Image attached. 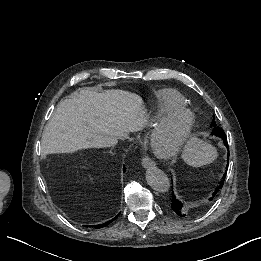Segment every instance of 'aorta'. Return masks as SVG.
Segmentation results:
<instances>
[{
	"mask_svg": "<svg viewBox=\"0 0 261 261\" xmlns=\"http://www.w3.org/2000/svg\"><path fill=\"white\" fill-rule=\"evenodd\" d=\"M146 180L152 189L165 193L170 188V181L167 175L157 167H150L146 171Z\"/></svg>",
	"mask_w": 261,
	"mask_h": 261,
	"instance_id": "aorta-1",
	"label": "aorta"
}]
</instances>
